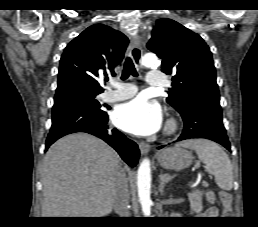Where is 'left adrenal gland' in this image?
<instances>
[{
    "mask_svg": "<svg viewBox=\"0 0 258 227\" xmlns=\"http://www.w3.org/2000/svg\"><path fill=\"white\" fill-rule=\"evenodd\" d=\"M174 178V176H170L169 174H160L159 175V187L158 190L160 192L161 195H163L164 192V187L165 185Z\"/></svg>",
    "mask_w": 258,
    "mask_h": 227,
    "instance_id": "1",
    "label": "left adrenal gland"
}]
</instances>
